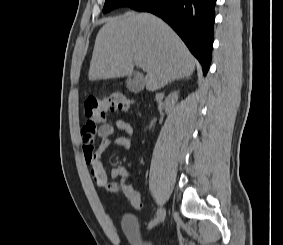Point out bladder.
Instances as JSON below:
<instances>
[{"instance_id":"obj_1","label":"bladder","mask_w":283,"mask_h":245,"mask_svg":"<svg viewBox=\"0 0 283 245\" xmlns=\"http://www.w3.org/2000/svg\"><path fill=\"white\" fill-rule=\"evenodd\" d=\"M122 227L127 239L132 245H156L154 242L143 241L141 239L140 223L135 215L131 213L125 214L122 218Z\"/></svg>"}]
</instances>
